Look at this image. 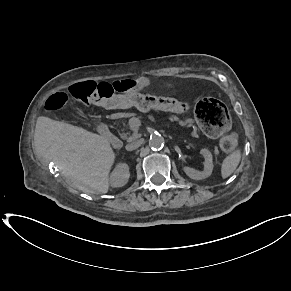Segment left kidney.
<instances>
[{
    "instance_id": "1",
    "label": "left kidney",
    "mask_w": 291,
    "mask_h": 291,
    "mask_svg": "<svg viewBox=\"0 0 291 291\" xmlns=\"http://www.w3.org/2000/svg\"><path fill=\"white\" fill-rule=\"evenodd\" d=\"M200 154L203 155L205 158L203 171H197L190 167H184V172L186 173V175L194 180H201L207 178L211 175L213 171V161L211 152L204 148L200 150Z\"/></svg>"
}]
</instances>
